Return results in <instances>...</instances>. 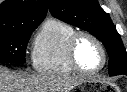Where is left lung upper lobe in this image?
Returning a JSON list of instances; mask_svg holds the SVG:
<instances>
[{
    "label": "left lung upper lobe",
    "mask_w": 127,
    "mask_h": 92,
    "mask_svg": "<svg viewBox=\"0 0 127 92\" xmlns=\"http://www.w3.org/2000/svg\"><path fill=\"white\" fill-rule=\"evenodd\" d=\"M51 14L96 36L109 55V74L127 75V52L109 15L97 0H49Z\"/></svg>",
    "instance_id": "left-lung-upper-lobe-1"
}]
</instances>
